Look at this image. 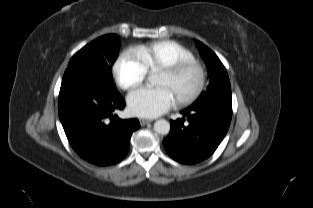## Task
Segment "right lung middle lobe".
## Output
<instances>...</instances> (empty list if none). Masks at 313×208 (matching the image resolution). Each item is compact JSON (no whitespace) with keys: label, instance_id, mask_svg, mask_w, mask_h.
<instances>
[{"label":"right lung middle lobe","instance_id":"right-lung-middle-lobe-1","mask_svg":"<svg viewBox=\"0 0 313 208\" xmlns=\"http://www.w3.org/2000/svg\"><path fill=\"white\" fill-rule=\"evenodd\" d=\"M119 44V37L115 34L97 38L72 57L64 76L77 71L99 80L106 88L118 92L113 82L111 66L117 59Z\"/></svg>","mask_w":313,"mask_h":208}]
</instances>
